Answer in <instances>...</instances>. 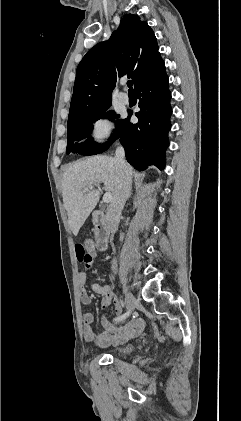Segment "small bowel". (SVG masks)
Segmentation results:
<instances>
[{"instance_id": "1", "label": "small bowel", "mask_w": 241, "mask_h": 421, "mask_svg": "<svg viewBox=\"0 0 241 421\" xmlns=\"http://www.w3.org/2000/svg\"><path fill=\"white\" fill-rule=\"evenodd\" d=\"M89 267V266H86ZM88 280V273L81 271L78 275L79 283V297L83 305L89 306L92 303L91 296L89 295L86 284ZM92 290L101 296V306L105 309L112 301L115 300V295L110 285H100L94 283ZM83 320V335L87 342L95 344L100 347L117 346L125 343L131 338L138 336L144 329L145 322L141 318H134L129 321L122 328H114L108 322L107 318H101V325L104 330L100 333H94L92 329L93 314L85 312L82 315Z\"/></svg>"}]
</instances>
